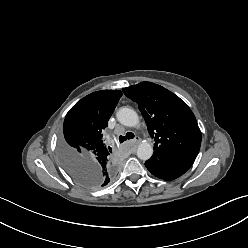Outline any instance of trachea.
I'll use <instances>...</instances> for the list:
<instances>
[{
	"label": "trachea",
	"mask_w": 248,
	"mask_h": 248,
	"mask_svg": "<svg viewBox=\"0 0 248 248\" xmlns=\"http://www.w3.org/2000/svg\"><path fill=\"white\" fill-rule=\"evenodd\" d=\"M133 138H134V134L132 132H128V133H126L125 136H119V142L123 143L127 139H133Z\"/></svg>",
	"instance_id": "trachea-1"
}]
</instances>
